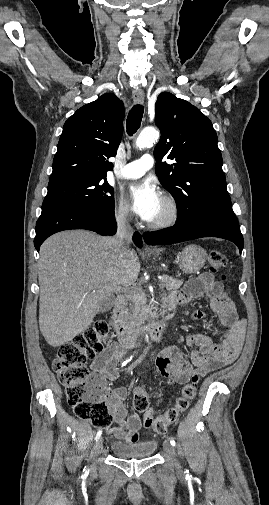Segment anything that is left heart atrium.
Returning a JSON list of instances; mask_svg holds the SVG:
<instances>
[{"instance_id":"obj_1","label":"left heart atrium","mask_w":269,"mask_h":505,"mask_svg":"<svg viewBox=\"0 0 269 505\" xmlns=\"http://www.w3.org/2000/svg\"><path fill=\"white\" fill-rule=\"evenodd\" d=\"M128 196L133 212L146 221L153 216L162 199L159 189L150 180L131 185Z\"/></svg>"}]
</instances>
